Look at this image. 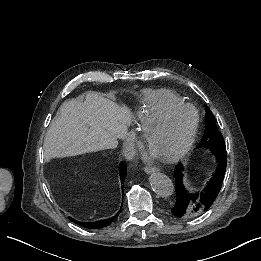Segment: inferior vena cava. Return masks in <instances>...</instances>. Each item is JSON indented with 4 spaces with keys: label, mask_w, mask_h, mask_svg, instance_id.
I'll return each instance as SVG.
<instances>
[{
    "label": "inferior vena cava",
    "mask_w": 261,
    "mask_h": 261,
    "mask_svg": "<svg viewBox=\"0 0 261 261\" xmlns=\"http://www.w3.org/2000/svg\"><path fill=\"white\" fill-rule=\"evenodd\" d=\"M127 141H133V138L130 136L127 138Z\"/></svg>",
    "instance_id": "1"
}]
</instances>
